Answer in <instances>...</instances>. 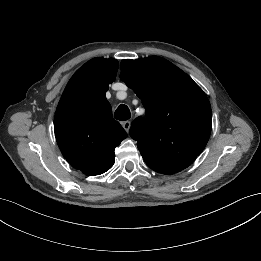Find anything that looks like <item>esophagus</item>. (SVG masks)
I'll use <instances>...</instances> for the list:
<instances>
[{
	"label": "esophagus",
	"mask_w": 261,
	"mask_h": 261,
	"mask_svg": "<svg viewBox=\"0 0 261 261\" xmlns=\"http://www.w3.org/2000/svg\"><path fill=\"white\" fill-rule=\"evenodd\" d=\"M123 128L126 130V132H129L130 127H131V122L130 121H125L122 123Z\"/></svg>",
	"instance_id": "1"
}]
</instances>
